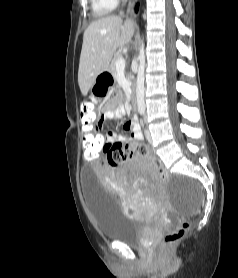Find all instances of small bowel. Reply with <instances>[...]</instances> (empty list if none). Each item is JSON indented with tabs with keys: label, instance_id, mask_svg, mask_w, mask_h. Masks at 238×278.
<instances>
[{
	"label": "small bowel",
	"instance_id": "small-bowel-1",
	"mask_svg": "<svg viewBox=\"0 0 238 278\" xmlns=\"http://www.w3.org/2000/svg\"><path fill=\"white\" fill-rule=\"evenodd\" d=\"M124 113H125V107L123 105H118L115 108H111V107L107 106L103 112L101 123L94 127V132H95L94 136L104 138V146H103L104 154H106L105 147L108 146L109 144H112V143L122 144V143L128 142L130 140L139 141V140H142V138H143L140 125L135 117L128 120L123 126L125 131L130 132V137H126L123 134H109L107 136H104L101 133L102 129H103V121L117 120V119L121 118L124 115ZM84 137H86V136H83V138ZM139 161L144 165H148L146 162H144L142 160H139Z\"/></svg>",
	"mask_w": 238,
	"mask_h": 278
}]
</instances>
